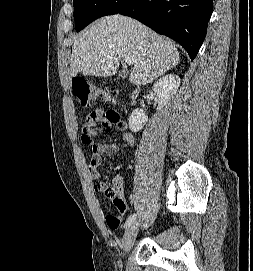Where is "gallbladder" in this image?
Here are the masks:
<instances>
[{"label": "gallbladder", "instance_id": "bac80fb5", "mask_svg": "<svg viewBox=\"0 0 253 271\" xmlns=\"http://www.w3.org/2000/svg\"><path fill=\"white\" fill-rule=\"evenodd\" d=\"M127 76H128L127 70H121L118 74V77H120V78H126Z\"/></svg>", "mask_w": 253, "mask_h": 271}]
</instances>
